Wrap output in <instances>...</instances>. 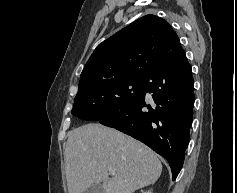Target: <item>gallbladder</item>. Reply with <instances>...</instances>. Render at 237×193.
Segmentation results:
<instances>
[{"label":"gallbladder","instance_id":"1","mask_svg":"<svg viewBox=\"0 0 237 193\" xmlns=\"http://www.w3.org/2000/svg\"><path fill=\"white\" fill-rule=\"evenodd\" d=\"M83 193H104V190L100 183H95L87 188Z\"/></svg>","mask_w":237,"mask_h":193}]
</instances>
